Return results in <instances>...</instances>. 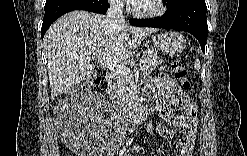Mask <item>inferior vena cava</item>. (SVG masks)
Here are the masks:
<instances>
[{
  "instance_id": "obj_1",
  "label": "inferior vena cava",
  "mask_w": 247,
  "mask_h": 156,
  "mask_svg": "<svg viewBox=\"0 0 247 156\" xmlns=\"http://www.w3.org/2000/svg\"><path fill=\"white\" fill-rule=\"evenodd\" d=\"M123 2L120 0H113L110 2L109 9L107 11V18L110 22L114 24H125V19L123 15ZM112 99H115L114 96H112Z\"/></svg>"
}]
</instances>
